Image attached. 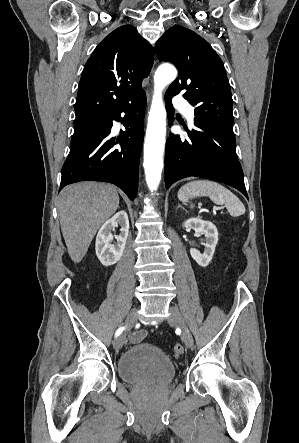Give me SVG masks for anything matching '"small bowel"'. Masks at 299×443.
Here are the masks:
<instances>
[{
    "mask_svg": "<svg viewBox=\"0 0 299 443\" xmlns=\"http://www.w3.org/2000/svg\"><path fill=\"white\" fill-rule=\"evenodd\" d=\"M147 335V331L146 330H140L136 333H133L130 337L129 340L131 343L135 344V343H139L141 342Z\"/></svg>",
    "mask_w": 299,
    "mask_h": 443,
    "instance_id": "c3829d8e",
    "label": "small bowel"
}]
</instances>
